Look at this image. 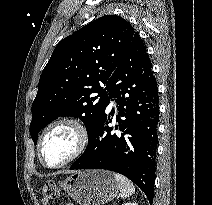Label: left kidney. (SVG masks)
I'll return each instance as SVG.
<instances>
[{"label": "left kidney", "mask_w": 212, "mask_h": 205, "mask_svg": "<svg viewBox=\"0 0 212 205\" xmlns=\"http://www.w3.org/2000/svg\"><path fill=\"white\" fill-rule=\"evenodd\" d=\"M122 205H138V204L132 203V202H128V203H125V204H122Z\"/></svg>", "instance_id": "obj_1"}]
</instances>
